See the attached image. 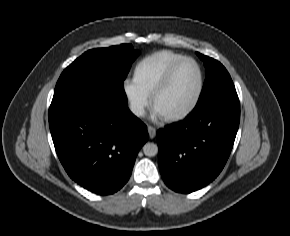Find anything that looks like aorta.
I'll return each mask as SVG.
<instances>
[{"mask_svg": "<svg viewBox=\"0 0 290 236\" xmlns=\"http://www.w3.org/2000/svg\"><path fill=\"white\" fill-rule=\"evenodd\" d=\"M144 154L153 157L158 154V146L154 143H146L143 147Z\"/></svg>", "mask_w": 290, "mask_h": 236, "instance_id": "762f6f07", "label": "aorta"}]
</instances>
